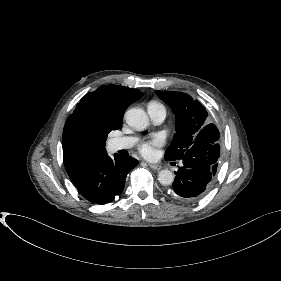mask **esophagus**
Masks as SVG:
<instances>
[{"instance_id":"34e87169","label":"esophagus","mask_w":281,"mask_h":281,"mask_svg":"<svg viewBox=\"0 0 281 281\" xmlns=\"http://www.w3.org/2000/svg\"><path fill=\"white\" fill-rule=\"evenodd\" d=\"M148 166L154 170H160L161 169V166L158 165V164H151V163H148Z\"/></svg>"}]
</instances>
